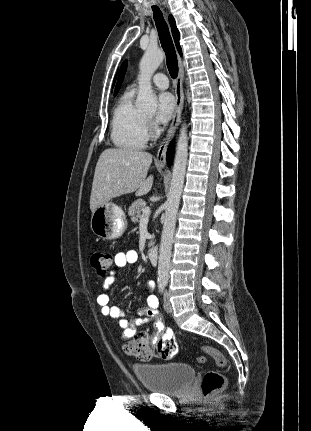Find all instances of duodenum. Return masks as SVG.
I'll use <instances>...</instances> for the list:
<instances>
[{
  "instance_id": "obj_1",
  "label": "duodenum",
  "mask_w": 311,
  "mask_h": 431,
  "mask_svg": "<svg viewBox=\"0 0 311 431\" xmlns=\"http://www.w3.org/2000/svg\"><path fill=\"white\" fill-rule=\"evenodd\" d=\"M158 248L157 246H152L147 251V256L152 264H156L158 261Z\"/></svg>"
}]
</instances>
